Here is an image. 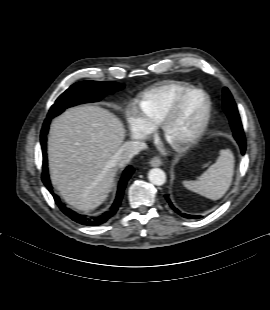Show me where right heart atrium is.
Instances as JSON below:
<instances>
[{"label": "right heart atrium", "instance_id": "obj_1", "mask_svg": "<svg viewBox=\"0 0 270 310\" xmlns=\"http://www.w3.org/2000/svg\"><path fill=\"white\" fill-rule=\"evenodd\" d=\"M126 122L129 133L136 138H144L153 131L151 127L142 117L138 107L130 105L126 112Z\"/></svg>", "mask_w": 270, "mask_h": 310}]
</instances>
